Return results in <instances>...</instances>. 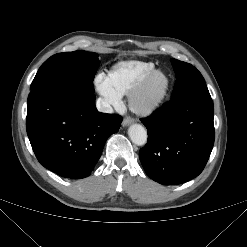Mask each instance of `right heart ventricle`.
<instances>
[{"mask_svg":"<svg viewBox=\"0 0 247 247\" xmlns=\"http://www.w3.org/2000/svg\"><path fill=\"white\" fill-rule=\"evenodd\" d=\"M151 62L127 60L117 63L108 73L113 90L120 96L130 94L155 70Z\"/></svg>","mask_w":247,"mask_h":247,"instance_id":"right-heart-ventricle-1","label":"right heart ventricle"}]
</instances>
